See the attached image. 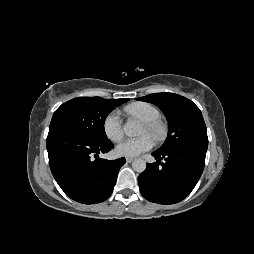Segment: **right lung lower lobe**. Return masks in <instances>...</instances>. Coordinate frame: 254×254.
<instances>
[{
    "mask_svg": "<svg viewBox=\"0 0 254 254\" xmlns=\"http://www.w3.org/2000/svg\"><path fill=\"white\" fill-rule=\"evenodd\" d=\"M110 140L95 141L75 132L52 128L47 137L51 172L67 196L83 203H99L111 195L125 158H99L113 148Z\"/></svg>",
    "mask_w": 254,
    "mask_h": 254,
    "instance_id": "right-lung-lower-lobe-1",
    "label": "right lung lower lobe"
}]
</instances>
